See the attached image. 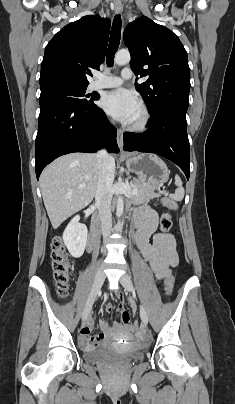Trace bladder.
<instances>
[{
	"instance_id": "bladder-1",
	"label": "bladder",
	"mask_w": 235,
	"mask_h": 404,
	"mask_svg": "<svg viewBox=\"0 0 235 404\" xmlns=\"http://www.w3.org/2000/svg\"><path fill=\"white\" fill-rule=\"evenodd\" d=\"M89 363H119L126 364L141 360L142 356L135 349L121 351L115 346L90 349L84 353Z\"/></svg>"
}]
</instances>
